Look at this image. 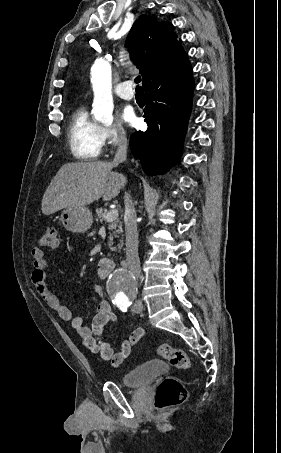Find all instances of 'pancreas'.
<instances>
[{
	"label": "pancreas",
	"instance_id": "pancreas-1",
	"mask_svg": "<svg viewBox=\"0 0 281 453\" xmlns=\"http://www.w3.org/2000/svg\"><path fill=\"white\" fill-rule=\"evenodd\" d=\"M106 212H107V208H96V214H97L96 220H100V222H103V220H106V218H104V216H106ZM108 229H109V231H111V233H109V241H108V245H109V247H111V245H113L114 237H117V239H118V235H121V233H123L120 218H115V220H112V222H110V224H108Z\"/></svg>",
	"mask_w": 281,
	"mask_h": 453
}]
</instances>
